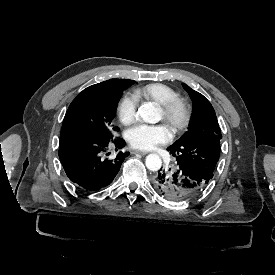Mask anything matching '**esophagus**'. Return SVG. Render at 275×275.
Returning a JSON list of instances; mask_svg holds the SVG:
<instances>
[{"instance_id": "obj_1", "label": "esophagus", "mask_w": 275, "mask_h": 275, "mask_svg": "<svg viewBox=\"0 0 275 275\" xmlns=\"http://www.w3.org/2000/svg\"><path fill=\"white\" fill-rule=\"evenodd\" d=\"M132 154L146 155V154H148V152L142 151V150H134V151H132Z\"/></svg>"}]
</instances>
